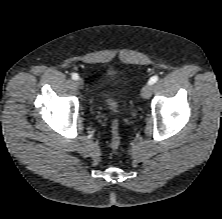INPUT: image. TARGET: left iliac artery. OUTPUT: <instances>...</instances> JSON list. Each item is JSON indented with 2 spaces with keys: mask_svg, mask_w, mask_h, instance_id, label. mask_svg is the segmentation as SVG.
Wrapping results in <instances>:
<instances>
[{
  "mask_svg": "<svg viewBox=\"0 0 222 219\" xmlns=\"http://www.w3.org/2000/svg\"><path fill=\"white\" fill-rule=\"evenodd\" d=\"M158 81V76H152L150 79H149V84H154Z\"/></svg>",
  "mask_w": 222,
  "mask_h": 219,
  "instance_id": "left-iliac-artery-1",
  "label": "left iliac artery"
}]
</instances>
